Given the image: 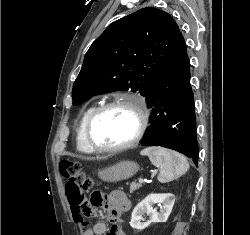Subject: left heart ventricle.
Here are the masks:
<instances>
[{"label": "left heart ventricle", "mask_w": 250, "mask_h": 235, "mask_svg": "<svg viewBox=\"0 0 250 235\" xmlns=\"http://www.w3.org/2000/svg\"><path fill=\"white\" fill-rule=\"evenodd\" d=\"M137 116L129 108L117 106L102 113L91 129L99 146H115L129 141L137 129Z\"/></svg>", "instance_id": "left-heart-ventricle-1"}]
</instances>
